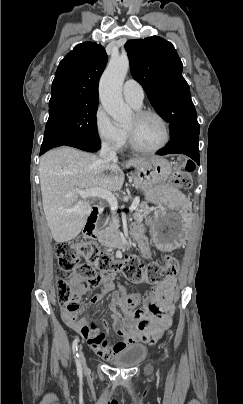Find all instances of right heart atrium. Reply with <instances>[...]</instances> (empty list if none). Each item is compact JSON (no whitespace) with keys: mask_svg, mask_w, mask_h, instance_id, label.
Masks as SVG:
<instances>
[{"mask_svg":"<svg viewBox=\"0 0 243 404\" xmlns=\"http://www.w3.org/2000/svg\"><path fill=\"white\" fill-rule=\"evenodd\" d=\"M93 124L99 143L116 152L121 151L127 141L126 132L113 122L104 107L99 104L93 115Z\"/></svg>","mask_w":243,"mask_h":404,"instance_id":"obj_1","label":"right heart atrium"}]
</instances>
